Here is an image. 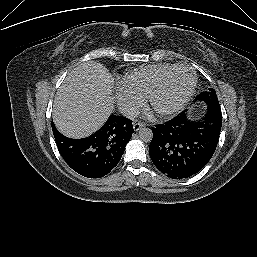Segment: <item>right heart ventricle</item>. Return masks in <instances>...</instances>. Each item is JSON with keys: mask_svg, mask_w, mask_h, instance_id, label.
<instances>
[{"mask_svg": "<svg viewBox=\"0 0 257 257\" xmlns=\"http://www.w3.org/2000/svg\"><path fill=\"white\" fill-rule=\"evenodd\" d=\"M173 66L174 64L164 63L136 68L121 79L120 86L143 99H147L149 92L159 77Z\"/></svg>", "mask_w": 257, "mask_h": 257, "instance_id": "obj_1", "label": "right heart ventricle"}]
</instances>
